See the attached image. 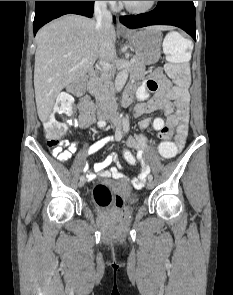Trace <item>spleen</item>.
I'll list each match as a JSON object with an SVG mask.
<instances>
[{"mask_svg": "<svg viewBox=\"0 0 233 295\" xmlns=\"http://www.w3.org/2000/svg\"><path fill=\"white\" fill-rule=\"evenodd\" d=\"M163 51L169 62H186L191 58V42L177 32H170L164 39Z\"/></svg>", "mask_w": 233, "mask_h": 295, "instance_id": "obj_1", "label": "spleen"}]
</instances>
